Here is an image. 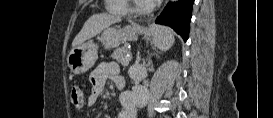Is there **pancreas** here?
<instances>
[{
    "label": "pancreas",
    "mask_w": 273,
    "mask_h": 118,
    "mask_svg": "<svg viewBox=\"0 0 273 118\" xmlns=\"http://www.w3.org/2000/svg\"><path fill=\"white\" fill-rule=\"evenodd\" d=\"M124 52H129V49L127 47L117 48L111 54V57L123 66H127L129 64V59L125 56Z\"/></svg>",
    "instance_id": "cf45deb5"
}]
</instances>
